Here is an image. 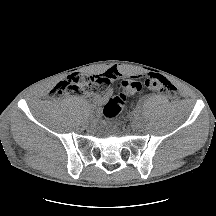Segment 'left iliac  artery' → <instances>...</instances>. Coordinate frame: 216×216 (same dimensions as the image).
<instances>
[{
  "mask_svg": "<svg viewBox=\"0 0 216 216\" xmlns=\"http://www.w3.org/2000/svg\"><path fill=\"white\" fill-rule=\"evenodd\" d=\"M141 111V107L140 106H138L137 108H136V112H140Z\"/></svg>",
  "mask_w": 216,
  "mask_h": 216,
  "instance_id": "left-iliac-artery-1",
  "label": "left iliac artery"
}]
</instances>
